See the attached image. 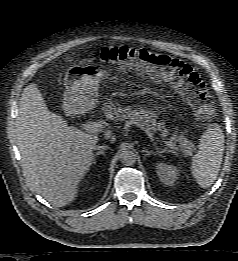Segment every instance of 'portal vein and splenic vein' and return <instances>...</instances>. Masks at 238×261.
I'll list each match as a JSON object with an SVG mask.
<instances>
[{
	"label": "portal vein and splenic vein",
	"instance_id": "1",
	"mask_svg": "<svg viewBox=\"0 0 238 261\" xmlns=\"http://www.w3.org/2000/svg\"><path fill=\"white\" fill-rule=\"evenodd\" d=\"M142 126V125H139ZM83 128L86 132L89 133H93V134H98L101 133L103 128H104V123L101 122H88L87 124L83 125ZM142 129L145 131V133L149 136V137H153V134L151 133V131H149L148 129H146L145 127H142ZM167 147L174 149L176 151H178V147L171 141H162Z\"/></svg>",
	"mask_w": 238,
	"mask_h": 261
}]
</instances>
